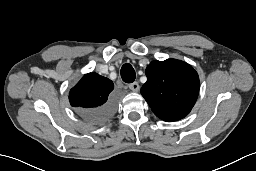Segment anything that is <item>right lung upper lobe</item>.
<instances>
[{"label":"right lung upper lobe","instance_id":"right-lung-upper-lobe-1","mask_svg":"<svg viewBox=\"0 0 256 171\" xmlns=\"http://www.w3.org/2000/svg\"><path fill=\"white\" fill-rule=\"evenodd\" d=\"M113 82L97 73L85 74L77 85L70 90L69 101L83 116L86 112L104 106L112 95Z\"/></svg>","mask_w":256,"mask_h":171}]
</instances>
